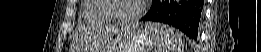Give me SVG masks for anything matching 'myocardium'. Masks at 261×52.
I'll return each mask as SVG.
<instances>
[{"label": "myocardium", "mask_w": 261, "mask_h": 52, "mask_svg": "<svg viewBox=\"0 0 261 52\" xmlns=\"http://www.w3.org/2000/svg\"><path fill=\"white\" fill-rule=\"evenodd\" d=\"M118 1V0H108V3H107V9L109 10L110 12V15L112 17V20L114 23H119V24H132V23H135L137 22L144 14L145 10H146V1L145 0H141V5H140V8L138 9V11L128 17V18H124V17H115L113 15V11L115 9V2Z\"/></svg>", "instance_id": "obj_1"}]
</instances>
